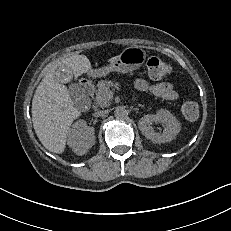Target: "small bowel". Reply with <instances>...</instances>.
<instances>
[{
    "instance_id": "small-bowel-1",
    "label": "small bowel",
    "mask_w": 231,
    "mask_h": 231,
    "mask_svg": "<svg viewBox=\"0 0 231 231\" xmlns=\"http://www.w3.org/2000/svg\"><path fill=\"white\" fill-rule=\"evenodd\" d=\"M134 88L141 92H148L152 95L161 97L168 101H174L178 98V93L174 86L168 82L151 84L145 79H137L134 82Z\"/></svg>"
}]
</instances>
